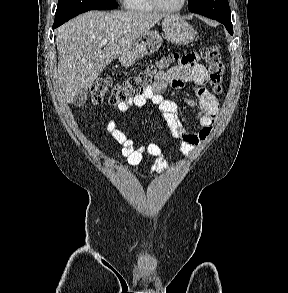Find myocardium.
Segmentation results:
<instances>
[{
  "label": "myocardium",
  "instance_id": "obj_1",
  "mask_svg": "<svg viewBox=\"0 0 288 293\" xmlns=\"http://www.w3.org/2000/svg\"><path fill=\"white\" fill-rule=\"evenodd\" d=\"M152 5L154 6L155 9L163 11V12H168V13H175L180 10H182L186 4L187 0H181L180 4L177 5L176 7H166L162 5L159 0H150Z\"/></svg>",
  "mask_w": 288,
  "mask_h": 293
}]
</instances>
